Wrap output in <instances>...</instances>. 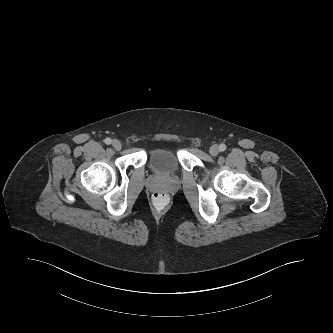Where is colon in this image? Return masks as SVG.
I'll return each mask as SVG.
<instances>
[{
  "instance_id": "colon-1",
  "label": "colon",
  "mask_w": 333,
  "mask_h": 333,
  "mask_svg": "<svg viewBox=\"0 0 333 333\" xmlns=\"http://www.w3.org/2000/svg\"><path fill=\"white\" fill-rule=\"evenodd\" d=\"M151 203L154 209L163 210L169 204V196L163 191L155 192Z\"/></svg>"
}]
</instances>
